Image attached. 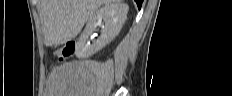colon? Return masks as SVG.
I'll return each mask as SVG.
<instances>
[{"mask_svg":"<svg viewBox=\"0 0 232 96\" xmlns=\"http://www.w3.org/2000/svg\"><path fill=\"white\" fill-rule=\"evenodd\" d=\"M76 43L74 41L67 42L62 48L57 50L56 55L60 60L68 59L75 52Z\"/></svg>","mask_w":232,"mask_h":96,"instance_id":"colon-1","label":"colon"}]
</instances>
